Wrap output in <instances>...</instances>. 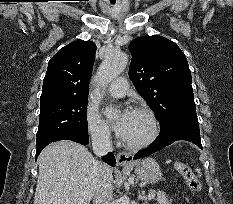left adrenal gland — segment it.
Segmentation results:
<instances>
[{
  "mask_svg": "<svg viewBox=\"0 0 233 204\" xmlns=\"http://www.w3.org/2000/svg\"><path fill=\"white\" fill-rule=\"evenodd\" d=\"M142 199L145 201L144 204H148V201H147V198L145 196V192L144 191H142Z\"/></svg>",
  "mask_w": 233,
  "mask_h": 204,
  "instance_id": "a2214340",
  "label": "left adrenal gland"
}]
</instances>
